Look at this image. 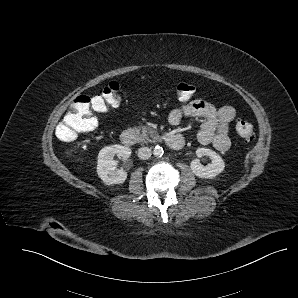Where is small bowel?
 <instances>
[{
	"label": "small bowel",
	"instance_id": "obj_1",
	"mask_svg": "<svg viewBox=\"0 0 298 298\" xmlns=\"http://www.w3.org/2000/svg\"><path fill=\"white\" fill-rule=\"evenodd\" d=\"M236 116L232 106L216 108L204 100H194L173 109L168 120L171 125H179L185 117H200L202 126L197 134L198 141L203 145L211 144L216 150L226 152L231 147L229 127Z\"/></svg>",
	"mask_w": 298,
	"mask_h": 298
}]
</instances>
